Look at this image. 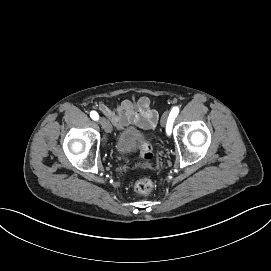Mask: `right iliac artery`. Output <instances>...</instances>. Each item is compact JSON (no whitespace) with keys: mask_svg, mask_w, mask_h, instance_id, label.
Here are the masks:
<instances>
[{"mask_svg":"<svg viewBox=\"0 0 271 271\" xmlns=\"http://www.w3.org/2000/svg\"><path fill=\"white\" fill-rule=\"evenodd\" d=\"M90 117L93 119V120H98L99 119V115L96 111H91L90 112Z\"/></svg>","mask_w":271,"mask_h":271,"instance_id":"obj_1","label":"right iliac artery"}]
</instances>
